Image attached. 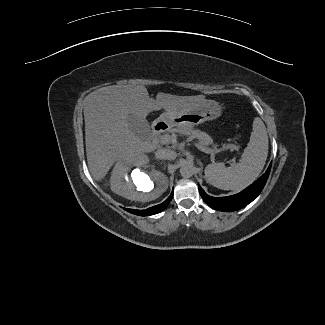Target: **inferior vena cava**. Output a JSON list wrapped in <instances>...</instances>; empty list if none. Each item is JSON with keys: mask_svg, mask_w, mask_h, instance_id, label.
<instances>
[{"mask_svg": "<svg viewBox=\"0 0 325 325\" xmlns=\"http://www.w3.org/2000/svg\"><path fill=\"white\" fill-rule=\"evenodd\" d=\"M155 156L159 159L174 160L176 152L170 149L160 148L156 151Z\"/></svg>", "mask_w": 325, "mask_h": 325, "instance_id": "602c4592", "label": "inferior vena cava"}]
</instances>
